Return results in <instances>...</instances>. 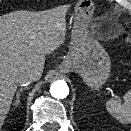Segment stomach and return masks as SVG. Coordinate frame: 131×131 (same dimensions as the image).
I'll return each mask as SVG.
<instances>
[{
  "instance_id": "obj_1",
  "label": "stomach",
  "mask_w": 131,
  "mask_h": 131,
  "mask_svg": "<svg viewBox=\"0 0 131 131\" xmlns=\"http://www.w3.org/2000/svg\"><path fill=\"white\" fill-rule=\"evenodd\" d=\"M64 65L67 68L63 69V72L75 71L79 73L91 90H99L108 80L110 74L109 56L105 49L98 44L88 45L79 57H72Z\"/></svg>"
}]
</instances>
